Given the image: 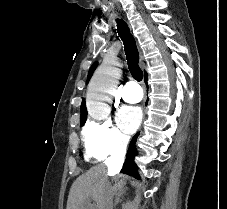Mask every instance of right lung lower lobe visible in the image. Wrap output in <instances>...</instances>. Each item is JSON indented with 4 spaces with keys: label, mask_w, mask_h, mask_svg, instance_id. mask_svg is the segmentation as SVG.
<instances>
[{
    "label": "right lung lower lobe",
    "mask_w": 227,
    "mask_h": 209,
    "mask_svg": "<svg viewBox=\"0 0 227 209\" xmlns=\"http://www.w3.org/2000/svg\"><path fill=\"white\" fill-rule=\"evenodd\" d=\"M146 81H147V76L145 77V82ZM138 136H139V133H136L134 135V137L132 138L130 145H129V149L127 151L126 160H125L123 168L121 170L122 173L132 175L134 177L138 176L137 166L134 163V156L136 155L135 144H136Z\"/></svg>",
    "instance_id": "1"
}]
</instances>
